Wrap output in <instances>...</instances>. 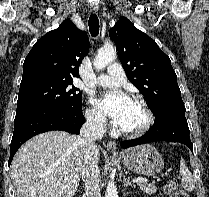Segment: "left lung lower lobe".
<instances>
[{
    "label": "left lung lower lobe",
    "mask_w": 209,
    "mask_h": 197,
    "mask_svg": "<svg viewBox=\"0 0 209 197\" xmlns=\"http://www.w3.org/2000/svg\"><path fill=\"white\" fill-rule=\"evenodd\" d=\"M185 111V106H172L159 110L154 114V125L144 136L123 141L120 143L121 147L125 149L153 141H170L183 143L193 152Z\"/></svg>",
    "instance_id": "1"
}]
</instances>
